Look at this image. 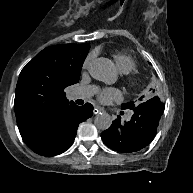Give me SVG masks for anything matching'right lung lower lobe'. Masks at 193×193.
Wrapping results in <instances>:
<instances>
[{
  "mask_svg": "<svg viewBox=\"0 0 193 193\" xmlns=\"http://www.w3.org/2000/svg\"><path fill=\"white\" fill-rule=\"evenodd\" d=\"M93 106L73 105L60 118L45 126L20 131L23 141L35 153L54 156L66 151L73 143L79 123L92 116Z\"/></svg>",
  "mask_w": 193,
  "mask_h": 193,
  "instance_id": "obj_1",
  "label": "right lung lower lobe"
}]
</instances>
